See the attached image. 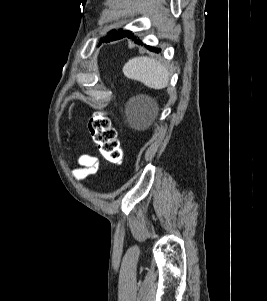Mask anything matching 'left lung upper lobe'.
<instances>
[{
  "mask_svg": "<svg viewBox=\"0 0 267 301\" xmlns=\"http://www.w3.org/2000/svg\"><path fill=\"white\" fill-rule=\"evenodd\" d=\"M126 32H128V31H123V30H120V31H118V32H114V31H112L111 32V35H115V34H123V33H126ZM110 34V33H109ZM108 37H110L109 35H107L104 39H101L100 40V42H102V41H104L106 38H108Z\"/></svg>",
  "mask_w": 267,
  "mask_h": 301,
  "instance_id": "5c2ea615",
  "label": "left lung upper lobe"
}]
</instances>
